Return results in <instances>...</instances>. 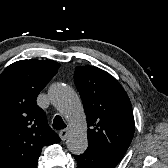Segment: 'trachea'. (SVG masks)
I'll use <instances>...</instances> for the list:
<instances>
[{"instance_id":"obj_1","label":"trachea","mask_w":168,"mask_h":168,"mask_svg":"<svg viewBox=\"0 0 168 168\" xmlns=\"http://www.w3.org/2000/svg\"><path fill=\"white\" fill-rule=\"evenodd\" d=\"M66 127V124L63 122L62 118L57 115L55 116L54 120H53V128L55 129H64Z\"/></svg>"}]
</instances>
